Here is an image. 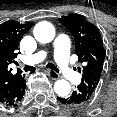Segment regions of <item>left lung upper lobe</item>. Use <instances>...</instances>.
I'll use <instances>...</instances> for the list:
<instances>
[{"mask_svg": "<svg viewBox=\"0 0 117 117\" xmlns=\"http://www.w3.org/2000/svg\"><path fill=\"white\" fill-rule=\"evenodd\" d=\"M59 21L73 35L76 43L75 53L79 61L85 64L83 69L78 68L79 72L83 73L80 86L88 91L90 97H93L106 54L100 32L95 25L80 14H70L60 18Z\"/></svg>", "mask_w": 117, "mask_h": 117, "instance_id": "obj_1", "label": "left lung upper lobe"}]
</instances>
